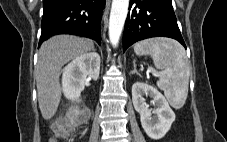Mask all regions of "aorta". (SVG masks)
I'll list each match as a JSON object with an SVG mask.
<instances>
[{"label":"aorta","mask_w":227,"mask_h":142,"mask_svg":"<svg viewBox=\"0 0 227 142\" xmlns=\"http://www.w3.org/2000/svg\"><path fill=\"white\" fill-rule=\"evenodd\" d=\"M129 0H112L109 17V39L111 44L118 45L128 13Z\"/></svg>","instance_id":"obj_1"}]
</instances>
